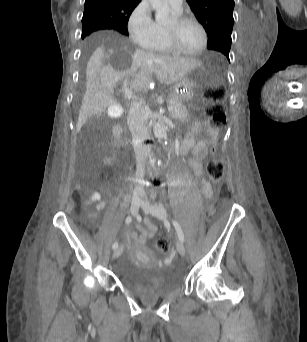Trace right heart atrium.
<instances>
[{"label": "right heart atrium", "instance_id": "right-heart-atrium-1", "mask_svg": "<svg viewBox=\"0 0 307 342\" xmlns=\"http://www.w3.org/2000/svg\"><path fill=\"white\" fill-rule=\"evenodd\" d=\"M127 32L130 41L139 46H147L161 36L150 12L143 5L137 6L128 16Z\"/></svg>", "mask_w": 307, "mask_h": 342}]
</instances>
